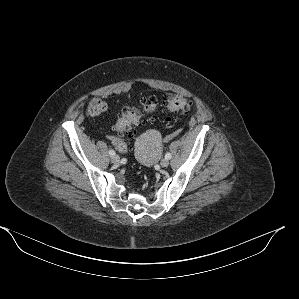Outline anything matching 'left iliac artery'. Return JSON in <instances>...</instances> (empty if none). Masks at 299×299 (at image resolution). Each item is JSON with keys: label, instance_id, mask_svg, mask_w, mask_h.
<instances>
[{"label": "left iliac artery", "instance_id": "44dca946", "mask_svg": "<svg viewBox=\"0 0 299 299\" xmlns=\"http://www.w3.org/2000/svg\"><path fill=\"white\" fill-rule=\"evenodd\" d=\"M165 159L167 160L171 159V154L169 152L165 154Z\"/></svg>", "mask_w": 299, "mask_h": 299}]
</instances>
